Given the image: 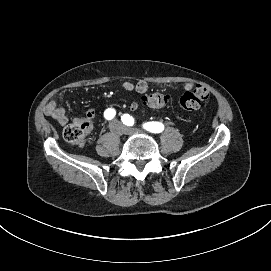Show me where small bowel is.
Listing matches in <instances>:
<instances>
[{
	"instance_id": "small-bowel-1",
	"label": "small bowel",
	"mask_w": 271,
	"mask_h": 271,
	"mask_svg": "<svg viewBox=\"0 0 271 271\" xmlns=\"http://www.w3.org/2000/svg\"><path fill=\"white\" fill-rule=\"evenodd\" d=\"M193 87H194L193 84L185 83L182 87V90L186 92V91L192 90ZM122 88L127 92L144 93L147 90L148 85L144 81H139L136 83L132 81H125L122 84ZM129 108L131 110H136L138 108V103L134 100L130 101ZM44 113L48 117L55 120L61 126L66 125L68 122V117L66 115L65 110L59 105H57V103L54 101L49 102L45 106ZM94 116H95V109L91 108L88 110L86 117L84 118V120L89 124L90 128L92 127Z\"/></svg>"
}]
</instances>
